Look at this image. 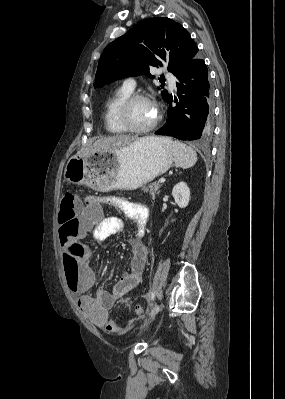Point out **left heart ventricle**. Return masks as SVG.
<instances>
[{"instance_id":"obj_1","label":"left heart ventricle","mask_w":285,"mask_h":399,"mask_svg":"<svg viewBox=\"0 0 285 399\" xmlns=\"http://www.w3.org/2000/svg\"><path fill=\"white\" fill-rule=\"evenodd\" d=\"M130 122L136 128L146 127L156 117V110L153 104L145 100H138L130 108Z\"/></svg>"}]
</instances>
